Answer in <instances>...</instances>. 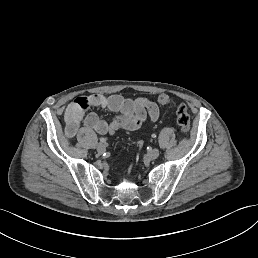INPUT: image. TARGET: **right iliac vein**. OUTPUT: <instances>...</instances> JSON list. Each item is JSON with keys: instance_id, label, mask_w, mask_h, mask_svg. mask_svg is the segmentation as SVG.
<instances>
[{"instance_id": "obj_1", "label": "right iliac vein", "mask_w": 258, "mask_h": 258, "mask_svg": "<svg viewBox=\"0 0 258 258\" xmlns=\"http://www.w3.org/2000/svg\"><path fill=\"white\" fill-rule=\"evenodd\" d=\"M95 150L97 153L102 154V153L106 152L107 147H106V145L99 143L96 145Z\"/></svg>"}]
</instances>
